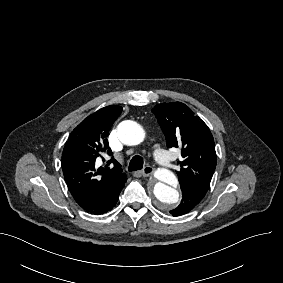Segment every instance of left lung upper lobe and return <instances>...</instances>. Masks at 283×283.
Listing matches in <instances>:
<instances>
[{
	"label": "left lung upper lobe",
	"mask_w": 283,
	"mask_h": 283,
	"mask_svg": "<svg viewBox=\"0 0 283 283\" xmlns=\"http://www.w3.org/2000/svg\"><path fill=\"white\" fill-rule=\"evenodd\" d=\"M152 112L165 135L167 147H181L184 160L177 172L180 185L208 190L217 156L208 126L181 102L157 104Z\"/></svg>",
	"instance_id": "5c2ea615"
}]
</instances>
